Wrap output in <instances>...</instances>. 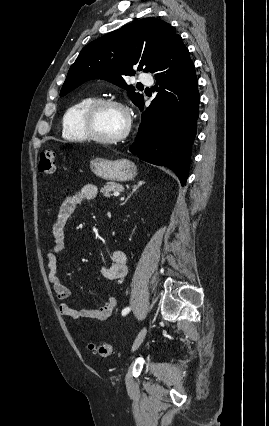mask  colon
<instances>
[{
    "label": "colon",
    "instance_id": "1",
    "mask_svg": "<svg viewBox=\"0 0 269 426\" xmlns=\"http://www.w3.org/2000/svg\"><path fill=\"white\" fill-rule=\"evenodd\" d=\"M39 172L43 176H50L56 170L55 155L52 151H44L39 156ZM89 350L99 356L106 357L112 353L111 343L89 344Z\"/></svg>",
    "mask_w": 269,
    "mask_h": 426
}]
</instances>
